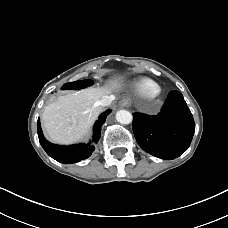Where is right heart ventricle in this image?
Wrapping results in <instances>:
<instances>
[{
	"mask_svg": "<svg viewBox=\"0 0 228 228\" xmlns=\"http://www.w3.org/2000/svg\"><path fill=\"white\" fill-rule=\"evenodd\" d=\"M157 90L159 85L149 78H142L134 84V91L142 97H151Z\"/></svg>",
	"mask_w": 228,
	"mask_h": 228,
	"instance_id": "obj_1",
	"label": "right heart ventricle"
}]
</instances>
